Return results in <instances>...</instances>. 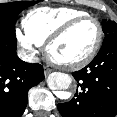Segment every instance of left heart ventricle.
Segmentation results:
<instances>
[{"instance_id": "1", "label": "left heart ventricle", "mask_w": 117, "mask_h": 117, "mask_svg": "<svg viewBox=\"0 0 117 117\" xmlns=\"http://www.w3.org/2000/svg\"><path fill=\"white\" fill-rule=\"evenodd\" d=\"M97 34L96 24L93 21H84L52 46L51 56L60 62L78 61L90 53Z\"/></svg>"}]
</instances>
